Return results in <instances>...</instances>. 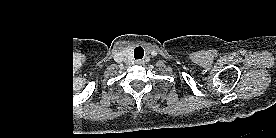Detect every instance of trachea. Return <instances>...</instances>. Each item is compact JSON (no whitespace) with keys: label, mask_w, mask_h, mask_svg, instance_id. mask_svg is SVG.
Instances as JSON below:
<instances>
[{"label":"trachea","mask_w":276,"mask_h":138,"mask_svg":"<svg viewBox=\"0 0 276 138\" xmlns=\"http://www.w3.org/2000/svg\"><path fill=\"white\" fill-rule=\"evenodd\" d=\"M144 56V50L142 47H136L134 50V58L135 59H142Z\"/></svg>","instance_id":"trachea-1"}]
</instances>
